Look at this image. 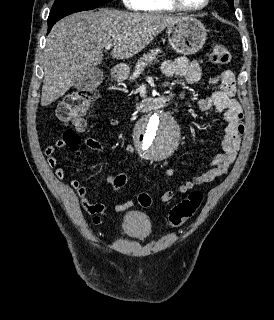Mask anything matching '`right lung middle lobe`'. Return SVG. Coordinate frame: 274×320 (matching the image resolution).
<instances>
[{"instance_id": "dd1d6c3e", "label": "right lung middle lobe", "mask_w": 274, "mask_h": 320, "mask_svg": "<svg viewBox=\"0 0 274 320\" xmlns=\"http://www.w3.org/2000/svg\"><path fill=\"white\" fill-rule=\"evenodd\" d=\"M111 1L112 0H55L47 22H57L72 13L92 10Z\"/></svg>"}]
</instances>
